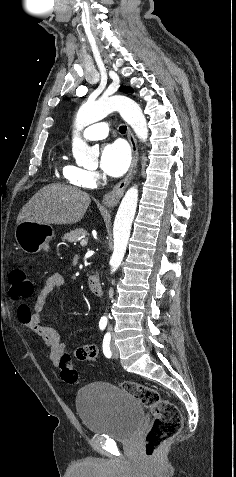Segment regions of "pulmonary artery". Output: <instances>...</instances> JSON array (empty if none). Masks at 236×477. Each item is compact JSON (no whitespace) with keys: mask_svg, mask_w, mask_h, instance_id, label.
<instances>
[{"mask_svg":"<svg viewBox=\"0 0 236 477\" xmlns=\"http://www.w3.org/2000/svg\"><path fill=\"white\" fill-rule=\"evenodd\" d=\"M110 125L107 122L90 124L83 131V138L86 140H101L108 136Z\"/></svg>","mask_w":236,"mask_h":477,"instance_id":"pulmonary-artery-1","label":"pulmonary artery"}]
</instances>
